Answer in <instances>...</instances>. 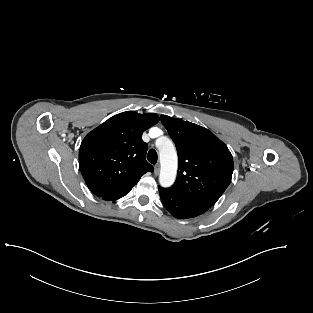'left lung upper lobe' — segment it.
<instances>
[{
    "instance_id": "1",
    "label": "left lung upper lobe",
    "mask_w": 313,
    "mask_h": 313,
    "mask_svg": "<svg viewBox=\"0 0 313 313\" xmlns=\"http://www.w3.org/2000/svg\"><path fill=\"white\" fill-rule=\"evenodd\" d=\"M161 122L178 153L173 195L207 208L213 206L231 182L233 158L227 146L208 129L161 115Z\"/></svg>"
}]
</instances>
